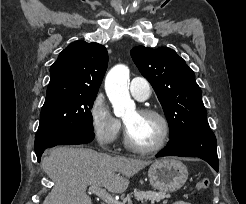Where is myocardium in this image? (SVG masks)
<instances>
[{
	"label": "myocardium",
	"mask_w": 246,
	"mask_h": 204,
	"mask_svg": "<svg viewBox=\"0 0 246 204\" xmlns=\"http://www.w3.org/2000/svg\"><path fill=\"white\" fill-rule=\"evenodd\" d=\"M138 113L142 115L154 116L157 119H159L163 128L162 135L159 141L155 145L143 147V146L136 145L135 143L132 142L129 136L128 128L127 126H125V133H124L125 146L131 151L140 154H152L160 151L167 144L170 137L171 127L167 117L159 110L153 108H141L138 110Z\"/></svg>",
	"instance_id": "obj_1"
}]
</instances>
